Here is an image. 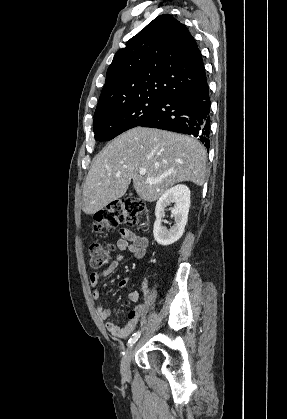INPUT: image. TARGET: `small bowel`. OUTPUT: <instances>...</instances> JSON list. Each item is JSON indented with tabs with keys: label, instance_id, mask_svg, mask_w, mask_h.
Returning a JSON list of instances; mask_svg holds the SVG:
<instances>
[{
	"label": "small bowel",
	"instance_id": "small-bowel-1",
	"mask_svg": "<svg viewBox=\"0 0 287 419\" xmlns=\"http://www.w3.org/2000/svg\"><path fill=\"white\" fill-rule=\"evenodd\" d=\"M148 245V240L145 237L137 236L130 229L121 230V238L118 239L116 246L118 253L115 259L109 264V266L101 272H94L90 275V284L92 286V297L98 299L100 297V290L98 289L99 281L102 277L108 276L118 267L123 259V252L130 251L136 258H142L145 254V249ZM129 280L127 278L122 279L118 282L119 288H124L128 285ZM144 287H147V281H144ZM129 300L136 302L141 298L139 291H133L129 294ZM147 309V304L142 303L136 306L129 314L128 321L123 326H118L113 320L112 312L104 304L100 303L96 306V311L99 317L105 322V327L108 332L117 338L128 337L135 329L140 316Z\"/></svg>",
	"mask_w": 287,
	"mask_h": 419
}]
</instances>
